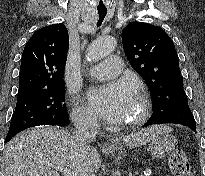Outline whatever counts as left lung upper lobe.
<instances>
[{
  "mask_svg": "<svg viewBox=\"0 0 205 176\" xmlns=\"http://www.w3.org/2000/svg\"><path fill=\"white\" fill-rule=\"evenodd\" d=\"M122 42L131 66L149 88L153 113L186 97L173 41L162 28L131 22L122 30Z\"/></svg>",
  "mask_w": 205,
  "mask_h": 176,
  "instance_id": "obj_1",
  "label": "left lung upper lobe"
}]
</instances>
